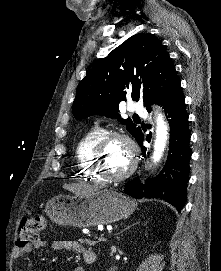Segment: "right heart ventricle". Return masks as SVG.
Listing matches in <instances>:
<instances>
[{"instance_id": "1", "label": "right heart ventricle", "mask_w": 221, "mask_h": 271, "mask_svg": "<svg viewBox=\"0 0 221 271\" xmlns=\"http://www.w3.org/2000/svg\"><path fill=\"white\" fill-rule=\"evenodd\" d=\"M105 133L100 130H94L85 134L77 143L76 155L77 164L79 165L80 176L84 179H92L93 183H107V178H103V174H97L96 164H94L93 158L95 155L92 154L93 150H96L95 145L101 144V140Z\"/></svg>"}]
</instances>
